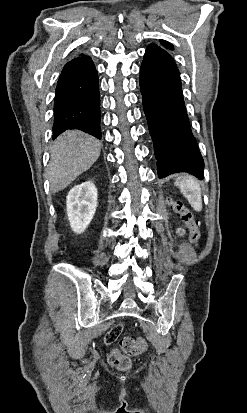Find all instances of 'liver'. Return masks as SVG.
Here are the masks:
<instances>
[{
  "mask_svg": "<svg viewBox=\"0 0 247 413\" xmlns=\"http://www.w3.org/2000/svg\"><path fill=\"white\" fill-rule=\"evenodd\" d=\"M101 142L81 130H66L51 146L47 172L51 192L68 186L81 172L88 170L100 156Z\"/></svg>",
  "mask_w": 247,
  "mask_h": 413,
  "instance_id": "liver-1",
  "label": "liver"
}]
</instances>
